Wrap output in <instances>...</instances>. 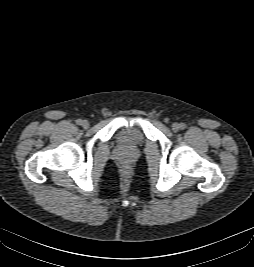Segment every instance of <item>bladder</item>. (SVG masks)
<instances>
[{
    "label": "bladder",
    "instance_id": "31cf9c89",
    "mask_svg": "<svg viewBox=\"0 0 254 267\" xmlns=\"http://www.w3.org/2000/svg\"><path fill=\"white\" fill-rule=\"evenodd\" d=\"M117 140L123 147L133 148L142 144L144 136L139 128L129 126L118 131Z\"/></svg>",
    "mask_w": 254,
    "mask_h": 267
}]
</instances>
